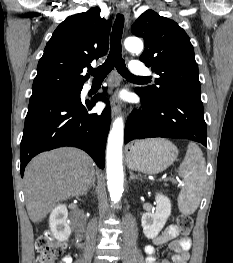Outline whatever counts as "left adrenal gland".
<instances>
[{
	"mask_svg": "<svg viewBox=\"0 0 233 263\" xmlns=\"http://www.w3.org/2000/svg\"><path fill=\"white\" fill-rule=\"evenodd\" d=\"M129 173H130L129 181L134 180V179L142 180V177H141V176L135 175V174H133V172H131V171H130Z\"/></svg>",
	"mask_w": 233,
	"mask_h": 263,
	"instance_id": "1",
	"label": "left adrenal gland"
}]
</instances>
